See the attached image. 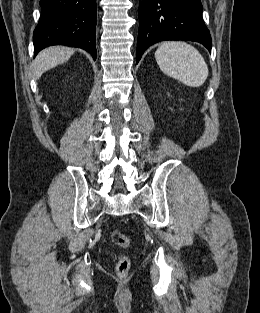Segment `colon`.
I'll use <instances>...</instances> for the list:
<instances>
[{
  "instance_id": "colon-1",
  "label": "colon",
  "mask_w": 260,
  "mask_h": 313,
  "mask_svg": "<svg viewBox=\"0 0 260 313\" xmlns=\"http://www.w3.org/2000/svg\"><path fill=\"white\" fill-rule=\"evenodd\" d=\"M112 240L116 245L122 248L128 247L130 243L129 238L119 230L113 231ZM130 267V258L127 255H120L116 263V274L120 278H125L130 270Z\"/></svg>"
}]
</instances>
